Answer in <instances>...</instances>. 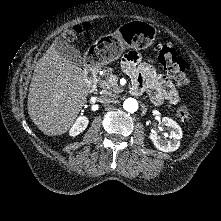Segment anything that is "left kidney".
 <instances>
[{
	"instance_id": "5707ae66",
	"label": "left kidney",
	"mask_w": 221,
	"mask_h": 221,
	"mask_svg": "<svg viewBox=\"0 0 221 221\" xmlns=\"http://www.w3.org/2000/svg\"><path fill=\"white\" fill-rule=\"evenodd\" d=\"M162 122L165 126H167L170 129V138L171 140H164L160 136H157V134L151 133L149 135V138L153 142L154 146L163 152H172L179 148L180 146V139L182 138V129L181 127L176 123V121L164 117L162 119Z\"/></svg>"
}]
</instances>
